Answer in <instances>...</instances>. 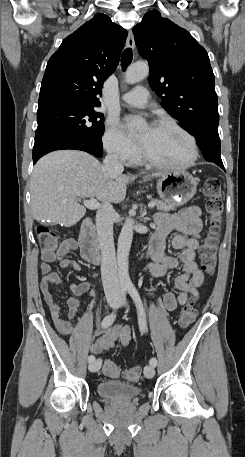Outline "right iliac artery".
<instances>
[{
	"mask_svg": "<svg viewBox=\"0 0 245 457\" xmlns=\"http://www.w3.org/2000/svg\"><path fill=\"white\" fill-rule=\"evenodd\" d=\"M126 291H127L126 288H121V298H123V301L125 300ZM115 318H116V315H115L114 312H112L111 314L107 315V316L103 319V321H102V323H101L102 328H107V327H109V326L114 322ZM94 360H95L94 355H90V356L88 357V362H89V363L93 362Z\"/></svg>",
	"mask_w": 245,
	"mask_h": 457,
	"instance_id": "obj_1",
	"label": "right iliac artery"
}]
</instances>
